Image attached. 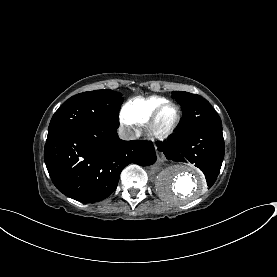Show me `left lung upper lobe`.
I'll return each instance as SVG.
<instances>
[{"mask_svg": "<svg viewBox=\"0 0 277 277\" xmlns=\"http://www.w3.org/2000/svg\"><path fill=\"white\" fill-rule=\"evenodd\" d=\"M172 97L181 105L183 112L182 123L178 131L222 124L216 111L203 97L183 91H173Z\"/></svg>", "mask_w": 277, "mask_h": 277, "instance_id": "1", "label": "left lung upper lobe"}]
</instances>
